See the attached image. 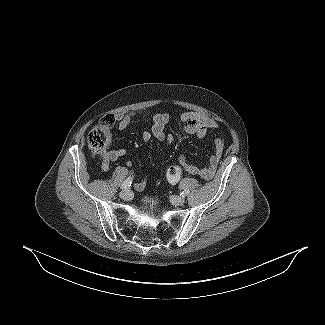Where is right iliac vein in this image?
<instances>
[{
	"label": "right iliac vein",
	"instance_id": "right-iliac-vein-1",
	"mask_svg": "<svg viewBox=\"0 0 325 325\" xmlns=\"http://www.w3.org/2000/svg\"><path fill=\"white\" fill-rule=\"evenodd\" d=\"M120 197L124 200H130L132 198V193L129 190H124L120 193Z\"/></svg>",
	"mask_w": 325,
	"mask_h": 325
}]
</instances>
